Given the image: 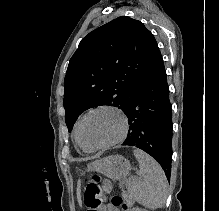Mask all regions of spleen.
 Segmentation results:
<instances>
[{
    "instance_id": "1",
    "label": "spleen",
    "mask_w": 219,
    "mask_h": 211,
    "mask_svg": "<svg viewBox=\"0 0 219 211\" xmlns=\"http://www.w3.org/2000/svg\"><path fill=\"white\" fill-rule=\"evenodd\" d=\"M134 155L139 161L140 169L139 177H133L129 181L131 199L152 209L162 207L168 191V181L161 165L142 149H134Z\"/></svg>"
}]
</instances>
